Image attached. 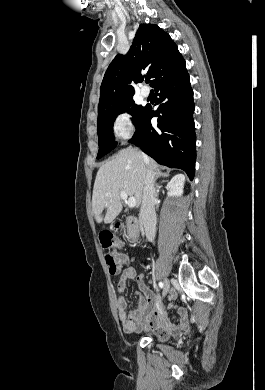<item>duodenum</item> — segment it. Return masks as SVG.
Wrapping results in <instances>:
<instances>
[{
	"instance_id": "410a0bca",
	"label": "duodenum",
	"mask_w": 265,
	"mask_h": 390,
	"mask_svg": "<svg viewBox=\"0 0 265 390\" xmlns=\"http://www.w3.org/2000/svg\"><path fill=\"white\" fill-rule=\"evenodd\" d=\"M140 224V221L134 216H129L126 220L128 237L132 243H137L139 241Z\"/></svg>"
}]
</instances>
